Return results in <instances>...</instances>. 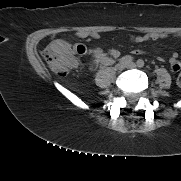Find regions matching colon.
I'll return each mask as SVG.
<instances>
[{
  "instance_id": "1",
  "label": "colon",
  "mask_w": 181,
  "mask_h": 181,
  "mask_svg": "<svg viewBox=\"0 0 181 181\" xmlns=\"http://www.w3.org/2000/svg\"><path fill=\"white\" fill-rule=\"evenodd\" d=\"M85 51V46L81 44L72 48H59L52 45L43 51V58L53 72L59 76H65L75 67L76 55H82ZM177 84L181 87V72L178 74Z\"/></svg>"
}]
</instances>
